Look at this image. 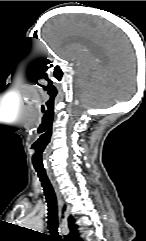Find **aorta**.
I'll use <instances>...</instances> for the list:
<instances>
[{"instance_id":"aorta-1","label":"aorta","mask_w":146,"mask_h":241,"mask_svg":"<svg viewBox=\"0 0 146 241\" xmlns=\"http://www.w3.org/2000/svg\"><path fill=\"white\" fill-rule=\"evenodd\" d=\"M27 227L29 229H33V230H40L41 227H42V221L41 219L35 217V218H32L28 223H27Z\"/></svg>"}]
</instances>
